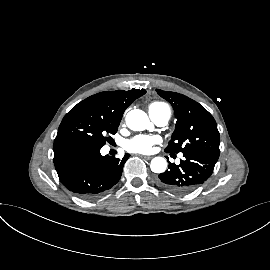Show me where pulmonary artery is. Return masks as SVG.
Wrapping results in <instances>:
<instances>
[{
	"instance_id": "obj_1",
	"label": "pulmonary artery",
	"mask_w": 270,
	"mask_h": 270,
	"mask_svg": "<svg viewBox=\"0 0 270 270\" xmlns=\"http://www.w3.org/2000/svg\"><path fill=\"white\" fill-rule=\"evenodd\" d=\"M151 119L158 125V126H164L168 123L170 119V112H149Z\"/></svg>"
}]
</instances>
